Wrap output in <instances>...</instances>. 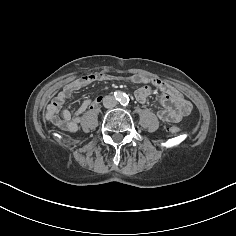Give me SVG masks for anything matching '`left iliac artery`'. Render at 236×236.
Here are the masks:
<instances>
[{
    "instance_id": "obj_1",
    "label": "left iliac artery",
    "mask_w": 236,
    "mask_h": 236,
    "mask_svg": "<svg viewBox=\"0 0 236 236\" xmlns=\"http://www.w3.org/2000/svg\"><path fill=\"white\" fill-rule=\"evenodd\" d=\"M129 103V99L128 97L126 96V98L123 99V104L124 105H127Z\"/></svg>"
}]
</instances>
